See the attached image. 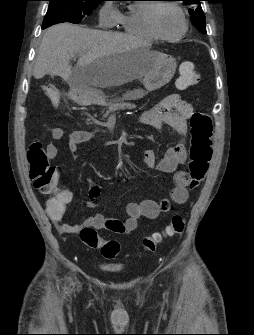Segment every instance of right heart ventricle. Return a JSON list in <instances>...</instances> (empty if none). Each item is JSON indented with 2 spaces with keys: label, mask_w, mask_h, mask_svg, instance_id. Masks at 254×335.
<instances>
[{
  "label": "right heart ventricle",
  "mask_w": 254,
  "mask_h": 335,
  "mask_svg": "<svg viewBox=\"0 0 254 335\" xmlns=\"http://www.w3.org/2000/svg\"><path fill=\"white\" fill-rule=\"evenodd\" d=\"M151 4H137L134 8L120 13L117 23L129 35L156 40L157 37L150 31L146 22V12Z\"/></svg>",
  "instance_id": "1"
}]
</instances>
